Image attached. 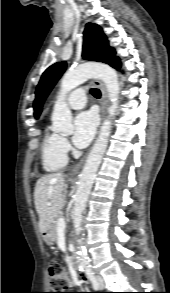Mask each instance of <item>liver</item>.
Instances as JSON below:
<instances>
[{
    "mask_svg": "<svg viewBox=\"0 0 170 293\" xmlns=\"http://www.w3.org/2000/svg\"><path fill=\"white\" fill-rule=\"evenodd\" d=\"M67 184L62 173L39 178L34 190V203L39 216V230L45 233L65 205ZM51 203V205H48Z\"/></svg>",
    "mask_w": 170,
    "mask_h": 293,
    "instance_id": "obj_1",
    "label": "liver"
}]
</instances>
